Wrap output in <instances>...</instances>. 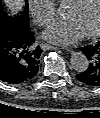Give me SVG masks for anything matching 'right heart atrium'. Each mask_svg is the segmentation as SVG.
Masks as SVG:
<instances>
[{
  "label": "right heart atrium",
  "mask_w": 100,
  "mask_h": 118,
  "mask_svg": "<svg viewBox=\"0 0 100 118\" xmlns=\"http://www.w3.org/2000/svg\"><path fill=\"white\" fill-rule=\"evenodd\" d=\"M28 9L35 23L39 26L48 24L56 15L53 0H28Z\"/></svg>",
  "instance_id": "obj_1"
}]
</instances>
